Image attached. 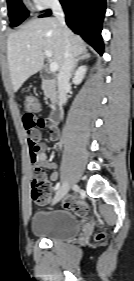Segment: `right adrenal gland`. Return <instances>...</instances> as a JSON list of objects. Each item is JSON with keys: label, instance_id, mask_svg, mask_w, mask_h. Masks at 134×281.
I'll return each mask as SVG.
<instances>
[{"label": "right adrenal gland", "instance_id": "obj_1", "mask_svg": "<svg viewBox=\"0 0 134 281\" xmlns=\"http://www.w3.org/2000/svg\"><path fill=\"white\" fill-rule=\"evenodd\" d=\"M90 57H91V55H90L87 51L81 53V54L79 55V57L76 59V61H75V66H74L73 74H74V72H75V69H76L77 66H78V63H79L80 61L87 60V59H89Z\"/></svg>", "mask_w": 134, "mask_h": 281}]
</instances>
